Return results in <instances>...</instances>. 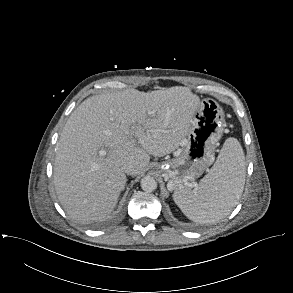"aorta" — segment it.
Returning <instances> with one entry per match:
<instances>
[{
  "label": "aorta",
  "instance_id": "obj_1",
  "mask_svg": "<svg viewBox=\"0 0 293 293\" xmlns=\"http://www.w3.org/2000/svg\"><path fill=\"white\" fill-rule=\"evenodd\" d=\"M141 188L146 192H152L157 188L156 180L150 176L146 175L141 179Z\"/></svg>",
  "mask_w": 293,
  "mask_h": 293
}]
</instances>
